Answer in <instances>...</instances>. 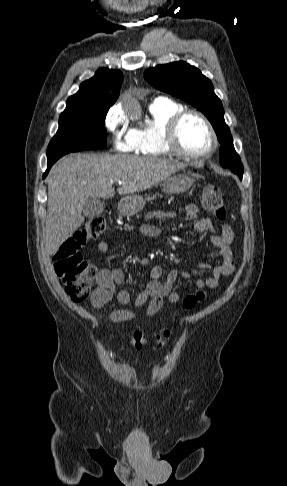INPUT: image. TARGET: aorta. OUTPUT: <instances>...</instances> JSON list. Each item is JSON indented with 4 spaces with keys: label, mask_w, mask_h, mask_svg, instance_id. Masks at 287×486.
Wrapping results in <instances>:
<instances>
[{
    "label": "aorta",
    "mask_w": 287,
    "mask_h": 486,
    "mask_svg": "<svg viewBox=\"0 0 287 486\" xmlns=\"http://www.w3.org/2000/svg\"><path fill=\"white\" fill-rule=\"evenodd\" d=\"M128 111L130 112L131 115L133 116H137L138 114V108L137 106L135 105V103L133 101H131L129 104H128Z\"/></svg>",
    "instance_id": "1"
}]
</instances>
